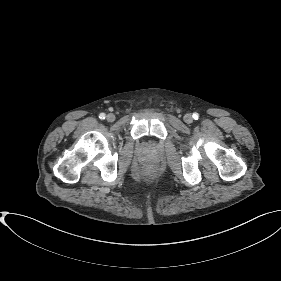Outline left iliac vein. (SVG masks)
<instances>
[{
    "label": "left iliac vein",
    "instance_id": "1",
    "mask_svg": "<svg viewBox=\"0 0 281 281\" xmlns=\"http://www.w3.org/2000/svg\"><path fill=\"white\" fill-rule=\"evenodd\" d=\"M184 121H185L186 123H188V124L192 123V122H193V117H192V115H191V114H186V115L184 116Z\"/></svg>",
    "mask_w": 281,
    "mask_h": 281
}]
</instances>
